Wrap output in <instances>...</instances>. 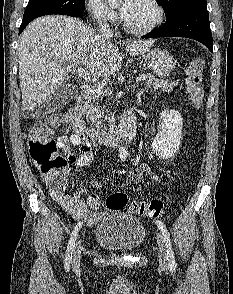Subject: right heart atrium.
Masks as SVG:
<instances>
[{"label": "right heart atrium", "mask_w": 233, "mask_h": 294, "mask_svg": "<svg viewBox=\"0 0 233 294\" xmlns=\"http://www.w3.org/2000/svg\"><path fill=\"white\" fill-rule=\"evenodd\" d=\"M86 9L91 18L99 24H111L117 20L116 12L104 0H86Z\"/></svg>", "instance_id": "obj_1"}]
</instances>
